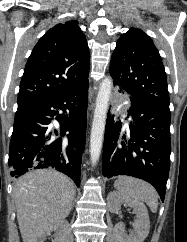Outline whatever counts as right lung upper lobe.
Listing matches in <instances>:
<instances>
[{
	"instance_id": "obj_1",
	"label": "right lung upper lobe",
	"mask_w": 187,
	"mask_h": 242,
	"mask_svg": "<svg viewBox=\"0 0 187 242\" xmlns=\"http://www.w3.org/2000/svg\"><path fill=\"white\" fill-rule=\"evenodd\" d=\"M89 69V48L77 21L54 26L41 37L26 63L18 106L87 82Z\"/></svg>"
}]
</instances>
